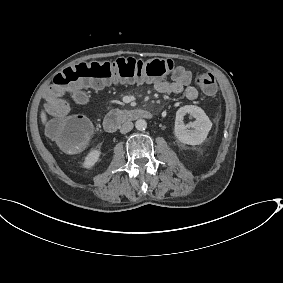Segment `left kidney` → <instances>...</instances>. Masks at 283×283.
I'll use <instances>...</instances> for the list:
<instances>
[{"instance_id": "obj_1", "label": "left kidney", "mask_w": 283, "mask_h": 283, "mask_svg": "<svg viewBox=\"0 0 283 283\" xmlns=\"http://www.w3.org/2000/svg\"><path fill=\"white\" fill-rule=\"evenodd\" d=\"M186 114H190L196 120L185 125L183 119ZM189 127L193 129L189 130ZM211 127L212 122L209 117L198 106L186 105L179 108L176 112L174 133L182 143L189 145L201 144L206 139Z\"/></svg>"}]
</instances>
